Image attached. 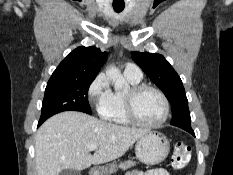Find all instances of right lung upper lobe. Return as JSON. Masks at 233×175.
<instances>
[{
  "mask_svg": "<svg viewBox=\"0 0 233 175\" xmlns=\"http://www.w3.org/2000/svg\"><path fill=\"white\" fill-rule=\"evenodd\" d=\"M107 57V52L96 47H78L59 64L50 80L95 78Z\"/></svg>",
  "mask_w": 233,
  "mask_h": 175,
  "instance_id": "obj_1",
  "label": "right lung upper lobe"
}]
</instances>
